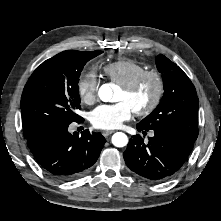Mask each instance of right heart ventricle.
Instances as JSON below:
<instances>
[{"instance_id": "right-heart-ventricle-1", "label": "right heart ventricle", "mask_w": 221, "mask_h": 221, "mask_svg": "<svg viewBox=\"0 0 221 221\" xmlns=\"http://www.w3.org/2000/svg\"><path fill=\"white\" fill-rule=\"evenodd\" d=\"M145 69L143 64L129 58L113 61L103 67V71L109 80L118 85L128 82Z\"/></svg>"}]
</instances>
